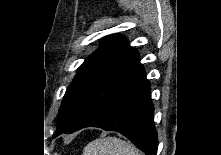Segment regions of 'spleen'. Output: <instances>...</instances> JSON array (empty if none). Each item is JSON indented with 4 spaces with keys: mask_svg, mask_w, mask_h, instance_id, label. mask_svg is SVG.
Masks as SVG:
<instances>
[{
    "mask_svg": "<svg viewBox=\"0 0 221 155\" xmlns=\"http://www.w3.org/2000/svg\"><path fill=\"white\" fill-rule=\"evenodd\" d=\"M83 155H141L131 143L116 137H105L90 142Z\"/></svg>",
    "mask_w": 221,
    "mask_h": 155,
    "instance_id": "1",
    "label": "spleen"
}]
</instances>
